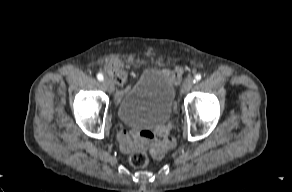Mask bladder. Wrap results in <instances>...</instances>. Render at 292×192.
<instances>
[{
	"label": "bladder",
	"mask_w": 292,
	"mask_h": 192,
	"mask_svg": "<svg viewBox=\"0 0 292 192\" xmlns=\"http://www.w3.org/2000/svg\"><path fill=\"white\" fill-rule=\"evenodd\" d=\"M174 100L170 79L157 69H147L123 92L117 114L129 126H160L170 120Z\"/></svg>",
	"instance_id": "1"
}]
</instances>
